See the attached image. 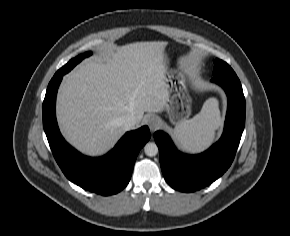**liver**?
Segmentation results:
<instances>
[{
	"label": "liver",
	"mask_w": 290,
	"mask_h": 236,
	"mask_svg": "<svg viewBox=\"0 0 290 236\" xmlns=\"http://www.w3.org/2000/svg\"><path fill=\"white\" fill-rule=\"evenodd\" d=\"M165 41L135 42L84 61L64 77L56 114L65 139L80 152L100 156L125 133L120 120L165 109L168 93Z\"/></svg>",
	"instance_id": "6515ba94"
}]
</instances>
